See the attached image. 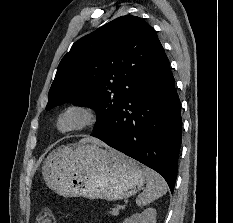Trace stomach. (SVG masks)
<instances>
[{
	"label": "stomach",
	"mask_w": 233,
	"mask_h": 223,
	"mask_svg": "<svg viewBox=\"0 0 233 223\" xmlns=\"http://www.w3.org/2000/svg\"><path fill=\"white\" fill-rule=\"evenodd\" d=\"M42 173L58 195L108 201L132 197L146 179L144 165L94 141L59 145L46 157Z\"/></svg>",
	"instance_id": "0dacf381"
}]
</instances>
